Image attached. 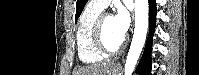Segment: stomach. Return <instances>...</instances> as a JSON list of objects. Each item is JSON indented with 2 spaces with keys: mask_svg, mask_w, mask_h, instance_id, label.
Listing matches in <instances>:
<instances>
[{
  "mask_svg": "<svg viewBox=\"0 0 199 75\" xmlns=\"http://www.w3.org/2000/svg\"><path fill=\"white\" fill-rule=\"evenodd\" d=\"M110 75H120V74H119L118 68L112 67V68L110 69Z\"/></svg>",
  "mask_w": 199,
  "mask_h": 75,
  "instance_id": "stomach-1",
  "label": "stomach"
}]
</instances>
